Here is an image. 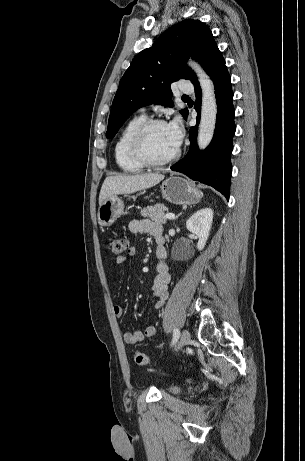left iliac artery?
<instances>
[{"label":"left iliac artery","instance_id":"44dca946","mask_svg":"<svg viewBox=\"0 0 305 461\" xmlns=\"http://www.w3.org/2000/svg\"><path fill=\"white\" fill-rule=\"evenodd\" d=\"M179 336H180V331L177 328H175L173 331L172 344H174L179 339Z\"/></svg>","mask_w":305,"mask_h":461}]
</instances>
